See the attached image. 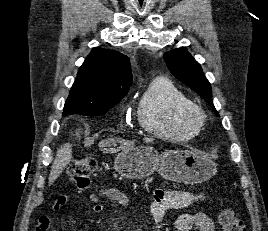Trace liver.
Masks as SVG:
<instances>
[{
  "mask_svg": "<svg viewBox=\"0 0 268 231\" xmlns=\"http://www.w3.org/2000/svg\"><path fill=\"white\" fill-rule=\"evenodd\" d=\"M146 142H152V139H146ZM119 142L121 144L120 148L121 150L131 148L135 146V141L131 140H124V139H115V138H110L107 140H102L99 143V147L101 150L104 152H110L114 153L117 150L111 149L110 146L112 144H116ZM72 158V146L69 143H66L62 145L56 153L49 178H48V183L49 186L54 183V181L60 176V174L63 172L64 168L70 163Z\"/></svg>",
  "mask_w": 268,
  "mask_h": 231,
  "instance_id": "obj_1",
  "label": "liver"
}]
</instances>
